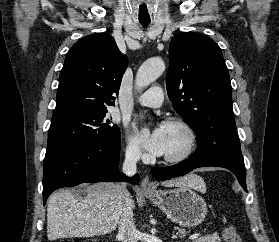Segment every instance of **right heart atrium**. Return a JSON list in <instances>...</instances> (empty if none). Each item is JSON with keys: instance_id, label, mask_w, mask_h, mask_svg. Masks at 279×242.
Returning <instances> with one entry per match:
<instances>
[{"instance_id": "1", "label": "right heart atrium", "mask_w": 279, "mask_h": 242, "mask_svg": "<svg viewBox=\"0 0 279 242\" xmlns=\"http://www.w3.org/2000/svg\"><path fill=\"white\" fill-rule=\"evenodd\" d=\"M125 156H126V159L130 162H137L141 158L144 157L139 146L134 141H132L130 138H127V141H126Z\"/></svg>"}]
</instances>
